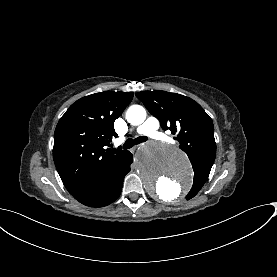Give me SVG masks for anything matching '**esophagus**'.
<instances>
[{"label": "esophagus", "mask_w": 277, "mask_h": 277, "mask_svg": "<svg viewBox=\"0 0 277 277\" xmlns=\"http://www.w3.org/2000/svg\"><path fill=\"white\" fill-rule=\"evenodd\" d=\"M139 146H141V144H140V145H137L136 147H139Z\"/></svg>", "instance_id": "1"}]
</instances>
